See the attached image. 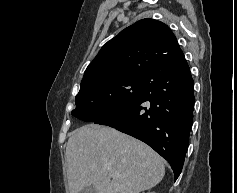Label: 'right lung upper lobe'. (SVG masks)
I'll return each instance as SVG.
<instances>
[{
    "label": "right lung upper lobe",
    "instance_id": "obj_1",
    "mask_svg": "<svg viewBox=\"0 0 237 193\" xmlns=\"http://www.w3.org/2000/svg\"><path fill=\"white\" fill-rule=\"evenodd\" d=\"M170 28L154 19H142L107 42L87 67L81 87L107 79L145 76L161 60L180 51Z\"/></svg>",
    "mask_w": 237,
    "mask_h": 193
}]
</instances>
